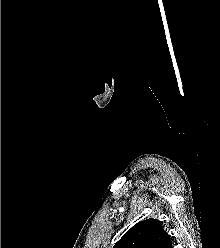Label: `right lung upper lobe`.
<instances>
[{"instance_id": "obj_1", "label": "right lung upper lobe", "mask_w": 220, "mask_h": 248, "mask_svg": "<svg viewBox=\"0 0 220 248\" xmlns=\"http://www.w3.org/2000/svg\"><path fill=\"white\" fill-rule=\"evenodd\" d=\"M170 235L157 219L141 221L130 228L113 248H170Z\"/></svg>"}]
</instances>
